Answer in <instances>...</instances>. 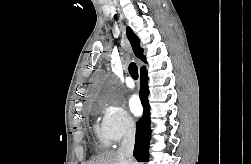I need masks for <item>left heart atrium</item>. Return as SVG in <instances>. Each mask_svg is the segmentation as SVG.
I'll return each mask as SVG.
<instances>
[{"instance_id":"39dd6f15","label":"left heart atrium","mask_w":251,"mask_h":164,"mask_svg":"<svg viewBox=\"0 0 251 164\" xmlns=\"http://www.w3.org/2000/svg\"><path fill=\"white\" fill-rule=\"evenodd\" d=\"M129 108L134 115H139L142 111L141 102L137 95H132L129 99Z\"/></svg>"}]
</instances>
